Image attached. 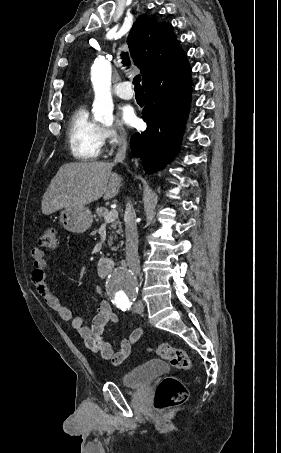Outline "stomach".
I'll return each mask as SVG.
<instances>
[{
    "label": "stomach",
    "mask_w": 281,
    "mask_h": 453,
    "mask_svg": "<svg viewBox=\"0 0 281 453\" xmlns=\"http://www.w3.org/2000/svg\"><path fill=\"white\" fill-rule=\"evenodd\" d=\"M62 227L70 233H85L90 229L93 216L88 206H69L60 212Z\"/></svg>",
    "instance_id": "1"
}]
</instances>
